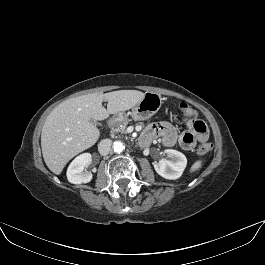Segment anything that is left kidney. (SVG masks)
<instances>
[{"mask_svg":"<svg viewBox=\"0 0 265 265\" xmlns=\"http://www.w3.org/2000/svg\"><path fill=\"white\" fill-rule=\"evenodd\" d=\"M164 154L168 159H161L154 165L155 171L165 179H178L187 165L186 156L173 149H166Z\"/></svg>","mask_w":265,"mask_h":265,"instance_id":"obj_1","label":"left kidney"}]
</instances>
